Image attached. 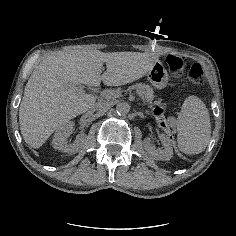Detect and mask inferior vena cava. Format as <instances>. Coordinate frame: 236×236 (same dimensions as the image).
<instances>
[{"mask_svg":"<svg viewBox=\"0 0 236 236\" xmlns=\"http://www.w3.org/2000/svg\"><path fill=\"white\" fill-rule=\"evenodd\" d=\"M111 107L110 101H99L95 103L91 108H94L95 110H104Z\"/></svg>","mask_w":236,"mask_h":236,"instance_id":"602c4592","label":"inferior vena cava"}]
</instances>
